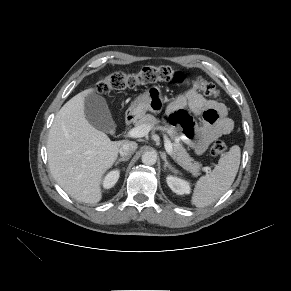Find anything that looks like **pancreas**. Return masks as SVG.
I'll return each instance as SVG.
<instances>
[{"label":"pancreas","mask_w":291,"mask_h":291,"mask_svg":"<svg viewBox=\"0 0 291 291\" xmlns=\"http://www.w3.org/2000/svg\"><path fill=\"white\" fill-rule=\"evenodd\" d=\"M160 122L159 119L154 117L151 114L143 115L140 120L136 122L137 126L140 125H146L149 127H154L158 125ZM160 129L166 131L173 142V152L172 157L173 159L186 171L190 172L193 176H198L199 171L201 169V165L195 161H193V158L190 157V155L187 153L186 149L184 148L182 142L179 139V134L177 130L174 127H171L169 125H165L163 127H159Z\"/></svg>","instance_id":"cf45deb5"}]
</instances>
